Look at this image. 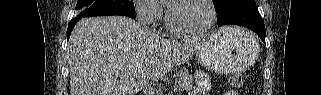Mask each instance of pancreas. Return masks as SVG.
<instances>
[{
	"label": "pancreas",
	"mask_w": 321,
	"mask_h": 95,
	"mask_svg": "<svg viewBox=\"0 0 321 95\" xmlns=\"http://www.w3.org/2000/svg\"><path fill=\"white\" fill-rule=\"evenodd\" d=\"M177 83L179 88L183 90H192L193 89V80L191 75L187 70H181L176 74Z\"/></svg>",
	"instance_id": "obj_1"
}]
</instances>
